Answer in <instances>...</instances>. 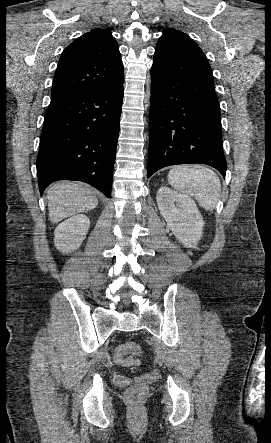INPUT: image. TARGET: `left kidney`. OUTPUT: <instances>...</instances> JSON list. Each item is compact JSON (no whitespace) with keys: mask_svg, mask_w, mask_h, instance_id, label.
I'll return each instance as SVG.
<instances>
[{"mask_svg":"<svg viewBox=\"0 0 271 443\" xmlns=\"http://www.w3.org/2000/svg\"><path fill=\"white\" fill-rule=\"evenodd\" d=\"M156 200L161 216L177 239L185 247H196L202 237L204 220L195 202L167 186L159 188Z\"/></svg>","mask_w":271,"mask_h":443,"instance_id":"left-kidney-1","label":"left kidney"}]
</instances>
